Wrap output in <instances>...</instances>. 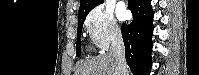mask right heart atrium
<instances>
[{
  "instance_id": "1",
  "label": "right heart atrium",
  "mask_w": 199,
  "mask_h": 75,
  "mask_svg": "<svg viewBox=\"0 0 199 75\" xmlns=\"http://www.w3.org/2000/svg\"><path fill=\"white\" fill-rule=\"evenodd\" d=\"M86 32L92 45L100 50L121 39V29L113 13L103 6L93 9L85 20Z\"/></svg>"
}]
</instances>
